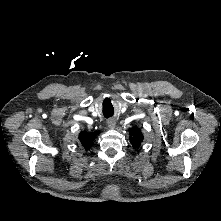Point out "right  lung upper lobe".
Here are the masks:
<instances>
[{"label":"right lung upper lobe","instance_id":"cb5924a9","mask_svg":"<svg viewBox=\"0 0 221 221\" xmlns=\"http://www.w3.org/2000/svg\"><path fill=\"white\" fill-rule=\"evenodd\" d=\"M97 134L98 132L95 133L81 132L79 134V140L86 149H89L92 146L93 141Z\"/></svg>","mask_w":221,"mask_h":221}]
</instances>
